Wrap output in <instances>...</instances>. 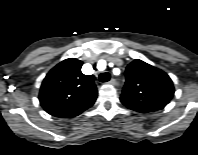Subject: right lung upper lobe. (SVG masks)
<instances>
[{
	"instance_id": "cb5924a9",
	"label": "right lung upper lobe",
	"mask_w": 198,
	"mask_h": 155,
	"mask_svg": "<svg viewBox=\"0 0 198 155\" xmlns=\"http://www.w3.org/2000/svg\"><path fill=\"white\" fill-rule=\"evenodd\" d=\"M82 65V61L69 58L46 75L39 100L47 113L62 118L74 117L94 104L97 89L92 76L81 72Z\"/></svg>"
}]
</instances>
